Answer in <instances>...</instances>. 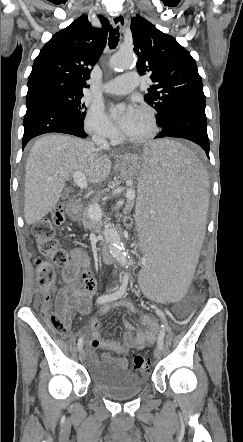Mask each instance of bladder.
<instances>
[{"mask_svg":"<svg viewBox=\"0 0 243 442\" xmlns=\"http://www.w3.org/2000/svg\"><path fill=\"white\" fill-rule=\"evenodd\" d=\"M89 378L103 395L119 401L139 395L145 385L143 377L104 356L91 362Z\"/></svg>","mask_w":243,"mask_h":442,"instance_id":"obj_1","label":"bladder"}]
</instances>
